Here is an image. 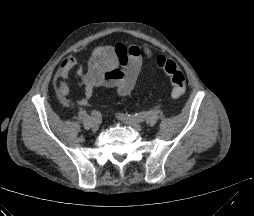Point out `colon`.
<instances>
[{"label": "colon", "mask_w": 254, "mask_h": 216, "mask_svg": "<svg viewBox=\"0 0 254 216\" xmlns=\"http://www.w3.org/2000/svg\"><path fill=\"white\" fill-rule=\"evenodd\" d=\"M155 64L168 77L171 85V96L173 98L182 97L186 91V81L176 63L163 56H158L155 59Z\"/></svg>", "instance_id": "5ec220e1"}]
</instances>
